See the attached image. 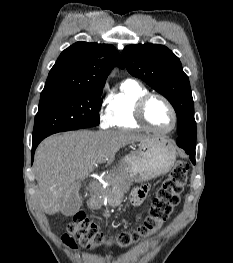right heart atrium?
<instances>
[{
    "label": "right heart atrium",
    "mask_w": 233,
    "mask_h": 263,
    "mask_svg": "<svg viewBox=\"0 0 233 263\" xmlns=\"http://www.w3.org/2000/svg\"><path fill=\"white\" fill-rule=\"evenodd\" d=\"M104 93L100 97V104L98 107L99 124L102 129H108L111 127V115L109 111V105L103 101Z\"/></svg>",
    "instance_id": "d8ad5b80"
}]
</instances>
